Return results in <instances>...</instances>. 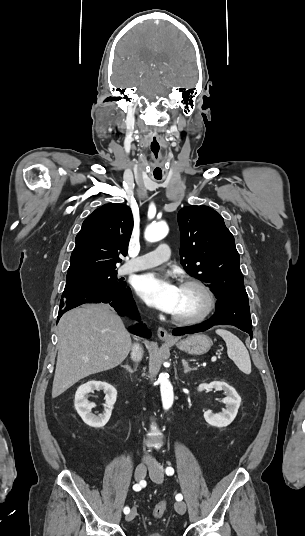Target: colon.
I'll use <instances>...</instances> for the list:
<instances>
[{
    "label": "colon",
    "mask_w": 305,
    "mask_h": 536,
    "mask_svg": "<svg viewBox=\"0 0 305 536\" xmlns=\"http://www.w3.org/2000/svg\"><path fill=\"white\" fill-rule=\"evenodd\" d=\"M166 510H167L166 503L165 502H158L152 508V516L155 517V518H160L165 514Z\"/></svg>",
    "instance_id": "5ec220e1"
}]
</instances>
